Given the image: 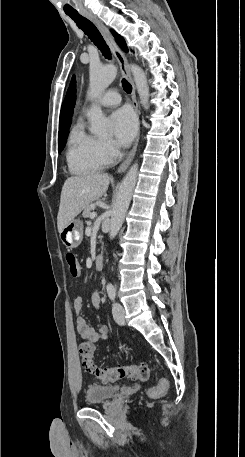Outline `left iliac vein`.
Segmentation results:
<instances>
[{"mask_svg": "<svg viewBox=\"0 0 245 457\" xmlns=\"http://www.w3.org/2000/svg\"><path fill=\"white\" fill-rule=\"evenodd\" d=\"M112 314H113V318L116 323H118L119 325L124 324L125 311H124L123 306L119 302H114L113 308H112Z\"/></svg>", "mask_w": 245, "mask_h": 457, "instance_id": "1", "label": "left iliac vein"}]
</instances>
